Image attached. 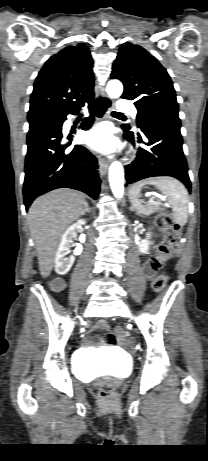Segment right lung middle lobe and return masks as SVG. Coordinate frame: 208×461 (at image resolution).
Returning a JSON list of instances; mask_svg holds the SVG:
<instances>
[{
  "mask_svg": "<svg viewBox=\"0 0 208 461\" xmlns=\"http://www.w3.org/2000/svg\"><path fill=\"white\" fill-rule=\"evenodd\" d=\"M52 120H55V119H41V118H34V119H28L29 121V130H33L35 128H37L38 126L46 123V122H49V121H52Z\"/></svg>",
  "mask_w": 208,
  "mask_h": 461,
  "instance_id": "dd1d6c3e",
  "label": "right lung middle lobe"
}]
</instances>
